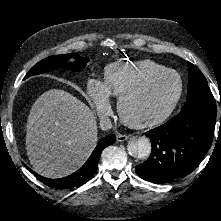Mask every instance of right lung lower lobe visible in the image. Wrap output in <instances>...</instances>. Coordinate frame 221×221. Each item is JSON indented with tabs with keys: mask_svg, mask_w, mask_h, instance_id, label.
Returning a JSON list of instances; mask_svg holds the SVG:
<instances>
[{
	"mask_svg": "<svg viewBox=\"0 0 221 221\" xmlns=\"http://www.w3.org/2000/svg\"><path fill=\"white\" fill-rule=\"evenodd\" d=\"M115 141L116 136L113 134L107 135L100 140L86 163L79 170L69 176L59 179H49L40 176L32 170L31 171L41 182L55 189H72L80 187L89 181L95 174L102 150L113 144Z\"/></svg>",
	"mask_w": 221,
	"mask_h": 221,
	"instance_id": "obj_1",
	"label": "right lung lower lobe"
}]
</instances>
